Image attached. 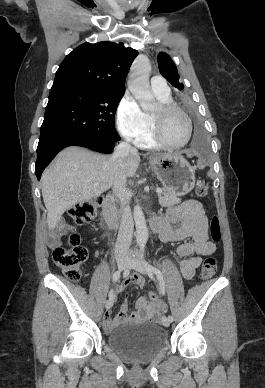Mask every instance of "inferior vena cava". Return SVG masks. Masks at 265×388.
I'll list each match as a JSON object with an SVG mask.
<instances>
[{
    "label": "inferior vena cava",
    "instance_id": "1",
    "mask_svg": "<svg viewBox=\"0 0 265 388\" xmlns=\"http://www.w3.org/2000/svg\"><path fill=\"white\" fill-rule=\"evenodd\" d=\"M130 152H137L136 148H132L128 142H121L119 146H116L114 154H112V160L116 164L117 174L116 182L113 184V192H115L117 198L121 202L122 220L118 232V238L115 246L116 258H122L128 256V250L131 246L134 222L130 210L131 196L126 188L127 176L126 160Z\"/></svg>",
    "mask_w": 265,
    "mask_h": 388
}]
</instances>
